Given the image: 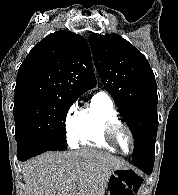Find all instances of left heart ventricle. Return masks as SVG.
<instances>
[{"instance_id":"obj_1","label":"left heart ventricle","mask_w":178,"mask_h":195,"mask_svg":"<svg viewBox=\"0 0 178 195\" xmlns=\"http://www.w3.org/2000/svg\"><path fill=\"white\" fill-rule=\"evenodd\" d=\"M116 141L119 148L122 149L124 152H129L131 150V139L125 130H120L118 132Z\"/></svg>"}]
</instances>
